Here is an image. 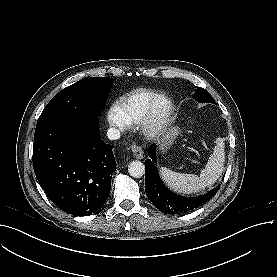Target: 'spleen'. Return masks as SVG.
I'll list each match as a JSON object with an SVG mask.
<instances>
[{
    "mask_svg": "<svg viewBox=\"0 0 277 277\" xmlns=\"http://www.w3.org/2000/svg\"><path fill=\"white\" fill-rule=\"evenodd\" d=\"M224 162V142L222 138H217L214 151L200 176L174 172L166 167H162L160 173L166 184L173 190L184 194L196 193L216 182L224 169Z\"/></svg>",
    "mask_w": 277,
    "mask_h": 277,
    "instance_id": "3e777b00",
    "label": "spleen"
}]
</instances>
